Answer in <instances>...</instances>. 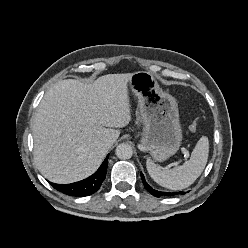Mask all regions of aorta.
<instances>
[{
  "instance_id": "obj_1",
  "label": "aorta",
  "mask_w": 248,
  "mask_h": 248,
  "mask_svg": "<svg viewBox=\"0 0 248 248\" xmlns=\"http://www.w3.org/2000/svg\"><path fill=\"white\" fill-rule=\"evenodd\" d=\"M133 155L132 147L127 143H121L116 148V156L120 159H129Z\"/></svg>"
}]
</instances>
